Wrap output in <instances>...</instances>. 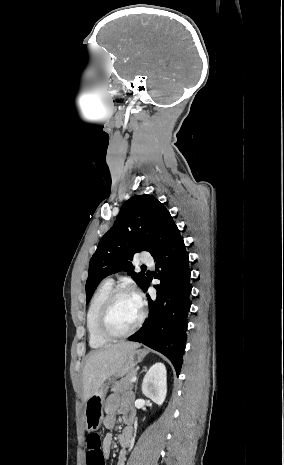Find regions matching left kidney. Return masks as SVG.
Returning a JSON list of instances; mask_svg holds the SVG:
<instances>
[{"label":"left kidney","instance_id":"obj_1","mask_svg":"<svg viewBox=\"0 0 284 465\" xmlns=\"http://www.w3.org/2000/svg\"><path fill=\"white\" fill-rule=\"evenodd\" d=\"M167 371L163 363H155L146 373L142 383V393L156 405H162L167 395Z\"/></svg>","mask_w":284,"mask_h":465}]
</instances>
